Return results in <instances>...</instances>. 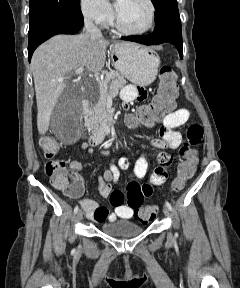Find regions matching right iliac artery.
Returning a JSON list of instances; mask_svg holds the SVG:
<instances>
[{
    "mask_svg": "<svg viewBox=\"0 0 240 288\" xmlns=\"http://www.w3.org/2000/svg\"><path fill=\"white\" fill-rule=\"evenodd\" d=\"M78 211H79V207L76 206V207L74 208V213H77Z\"/></svg>",
    "mask_w": 240,
    "mask_h": 288,
    "instance_id": "obj_1",
    "label": "right iliac artery"
}]
</instances>
